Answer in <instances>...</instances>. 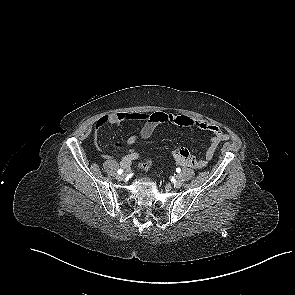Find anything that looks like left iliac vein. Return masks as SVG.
Returning a JSON list of instances; mask_svg holds the SVG:
<instances>
[{"label": "left iliac vein", "mask_w": 295, "mask_h": 295, "mask_svg": "<svg viewBox=\"0 0 295 295\" xmlns=\"http://www.w3.org/2000/svg\"><path fill=\"white\" fill-rule=\"evenodd\" d=\"M173 185H174V187H176V188H180V187L182 186V181H181L180 177L177 176V180H175V181L173 182Z\"/></svg>", "instance_id": "left-iliac-vein-1"}]
</instances>
